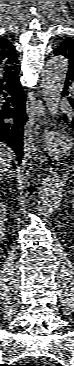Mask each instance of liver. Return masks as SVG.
<instances>
[{"instance_id":"6515ba94","label":"liver","mask_w":74,"mask_h":366,"mask_svg":"<svg viewBox=\"0 0 74 366\" xmlns=\"http://www.w3.org/2000/svg\"><path fill=\"white\" fill-rule=\"evenodd\" d=\"M15 157L14 152L4 143H0V172L4 174L11 167V162Z\"/></svg>"}]
</instances>
